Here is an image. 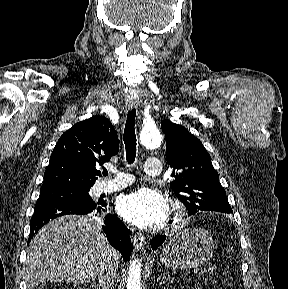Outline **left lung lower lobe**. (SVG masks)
<instances>
[{
  "mask_svg": "<svg viewBox=\"0 0 288 289\" xmlns=\"http://www.w3.org/2000/svg\"><path fill=\"white\" fill-rule=\"evenodd\" d=\"M165 239H166L165 236L154 237L151 240V248L154 250L157 249L165 241Z\"/></svg>",
  "mask_w": 288,
  "mask_h": 289,
  "instance_id": "left-lung-lower-lobe-1",
  "label": "left lung lower lobe"
}]
</instances>
